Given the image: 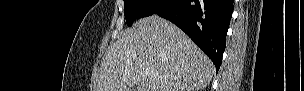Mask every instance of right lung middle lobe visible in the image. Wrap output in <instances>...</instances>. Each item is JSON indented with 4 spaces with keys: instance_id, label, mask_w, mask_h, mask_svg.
I'll list each match as a JSON object with an SVG mask.
<instances>
[{
    "instance_id": "right-lung-middle-lobe-1",
    "label": "right lung middle lobe",
    "mask_w": 304,
    "mask_h": 91,
    "mask_svg": "<svg viewBox=\"0 0 304 91\" xmlns=\"http://www.w3.org/2000/svg\"><path fill=\"white\" fill-rule=\"evenodd\" d=\"M169 0H124L126 23L131 26L135 19L155 14L156 10L167 5Z\"/></svg>"
}]
</instances>
